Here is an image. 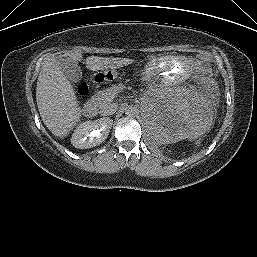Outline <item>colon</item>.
Here are the masks:
<instances>
[{
    "instance_id": "5ec220e1",
    "label": "colon",
    "mask_w": 257,
    "mask_h": 257,
    "mask_svg": "<svg viewBox=\"0 0 257 257\" xmlns=\"http://www.w3.org/2000/svg\"><path fill=\"white\" fill-rule=\"evenodd\" d=\"M197 59L202 63H209L211 61V57L208 54H199L197 55ZM118 77V72L115 70H104L96 73L93 76V81L97 83H104L114 80ZM87 85H82L79 89L81 94H85L87 91Z\"/></svg>"
}]
</instances>
